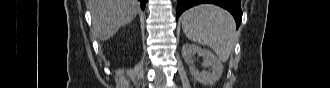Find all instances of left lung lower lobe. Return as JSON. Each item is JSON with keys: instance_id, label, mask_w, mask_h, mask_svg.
<instances>
[{"instance_id": "0a47b994", "label": "left lung lower lobe", "mask_w": 330, "mask_h": 88, "mask_svg": "<svg viewBox=\"0 0 330 88\" xmlns=\"http://www.w3.org/2000/svg\"><path fill=\"white\" fill-rule=\"evenodd\" d=\"M241 0H178L177 19L186 9L202 3L216 4L228 10L236 21L237 28L242 20Z\"/></svg>"}]
</instances>
